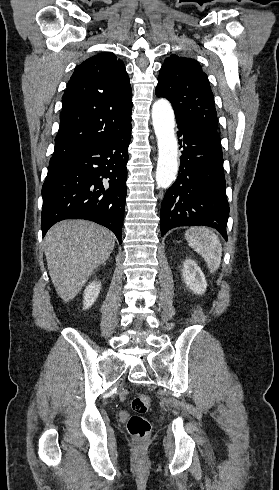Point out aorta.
<instances>
[{
	"instance_id": "762f6f07",
	"label": "aorta",
	"mask_w": 279,
	"mask_h": 490,
	"mask_svg": "<svg viewBox=\"0 0 279 490\" xmlns=\"http://www.w3.org/2000/svg\"><path fill=\"white\" fill-rule=\"evenodd\" d=\"M152 122L157 138L158 162L157 186L169 188L178 172V142L174 132L175 115L166 99L155 101L152 106Z\"/></svg>"
}]
</instances>
